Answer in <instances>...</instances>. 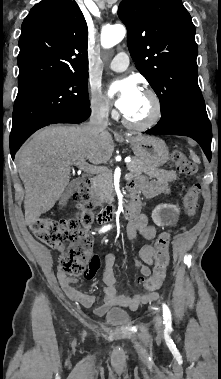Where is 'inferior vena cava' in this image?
Wrapping results in <instances>:
<instances>
[{"instance_id": "inferior-vena-cava-1", "label": "inferior vena cava", "mask_w": 221, "mask_h": 379, "mask_svg": "<svg viewBox=\"0 0 221 379\" xmlns=\"http://www.w3.org/2000/svg\"><path fill=\"white\" fill-rule=\"evenodd\" d=\"M108 107L102 104L92 105L91 115L85 129L93 134L105 132L108 126Z\"/></svg>"}]
</instances>
